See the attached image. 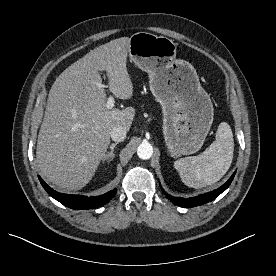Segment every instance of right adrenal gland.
Instances as JSON below:
<instances>
[{
	"label": "right adrenal gland",
	"instance_id": "2a0ac1e0",
	"mask_svg": "<svg viewBox=\"0 0 276 276\" xmlns=\"http://www.w3.org/2000/svg\"><path fill=\"white\" fill-rule=\"evenodd\" d=\"M117 144H118V142L112 143L110 145V147H109L110 151L104 156L103 163H105L106 161L111 162L114 159V157H115L114 148L117 146Z\"/></svg>",
	"mask_w": 276,
	"mask_h": 276
}]
</instances>
